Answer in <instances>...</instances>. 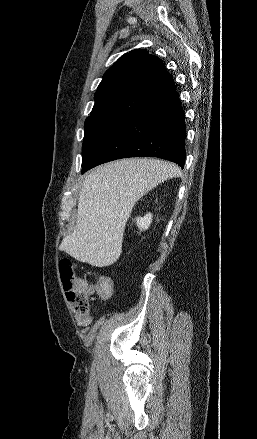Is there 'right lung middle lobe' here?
Wrapping results in <instances>:
<instances>
[{"label":"right lung middle lobe","mask_w":257,"mask_h":439,"mask_svg":"<svg viewBox=\"0 0 257 439\" xmlns=\"http://www.w3.org/2000/svg\"><path fill=\"white\" fill-rule=\"evenodd\" d=\"M127 118L121 116L88 117L84 125L82 166H84L112 132Z\"/></svg>","instance_id":"1"}]
</instances>
